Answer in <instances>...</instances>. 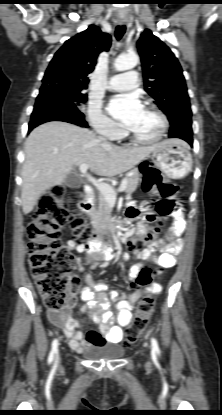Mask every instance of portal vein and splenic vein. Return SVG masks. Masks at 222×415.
Listing matches in <instances>:
<instances>
[{"mask_svg": "<svg viewBox=\"0 0 222 415\" xmlns=\"http://www.w3.org/2000/svg\"><path fill=\"white\" fill-rule=\"evenodd\" d=\"M89 165L84 163L80 165L81 173L87 177V179L105 196L109 204H114L116 202L117 192H122L126 189L127 179H123L120 187L117 190H114L112 186L107 183L96 180L95 178L87 175V170Z\"/></svg>", "mask_w": 222, "mask_h": 415, "instance_id": "portal-vein-and-splenic-vein-1", "label": "portal vein and splenic vein"}]
</instances>
